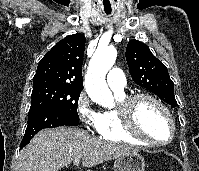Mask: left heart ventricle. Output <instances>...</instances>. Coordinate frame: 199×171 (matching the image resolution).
<instances>
[{"label": "left heart ventricle", "instance_id": "obj_1", "mask_svg": "<svg viewBox=\"0 0 199 171\" xmlns=\"http://www.w3.org/2000/svg\"><path fill=\"white\" fill-rule=\"evenodd\" d=\"M136 119L139 129L150 139L164 142L170 138L171 127L163 110L154 102L143 99L138 102Z\"/></svg>", "mask_w": 199, "mask_h": 171}]
</instances>
